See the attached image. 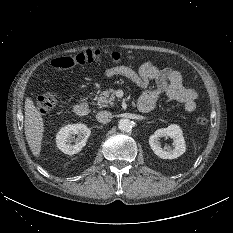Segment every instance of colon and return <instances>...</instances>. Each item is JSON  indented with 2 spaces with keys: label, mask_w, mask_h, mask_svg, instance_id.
<instances>
[{
  "label": "colon",
  "mask_w": 233,
  "mask_h": 233,
  "mask_svg": "<svg viewBox=\"0 0 233 233\" xmlns=\"http://www.w3.org/2000/svg\"><path fill=\"white\" fill-rule=\"evenodd\" d=\"M110 58L113 61L118 62L122 59V56L118 52H113L111 53ZM100 59H101L100 52L88 50V51L79 52L71 56L55 58L52 61V66L59 70H66L72 68L75 65H84L86 63L98 62L100 61ZM57 101L58 99L55 93L47 92L38 96L36 104L40 112L46 113L52 110L56 106ZM196 122L200 126H206L208 123V119L204 116H199L196 119Z\"/></svg>",
  "instance_id": "1"
}]
</instances>
